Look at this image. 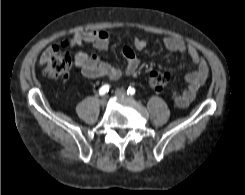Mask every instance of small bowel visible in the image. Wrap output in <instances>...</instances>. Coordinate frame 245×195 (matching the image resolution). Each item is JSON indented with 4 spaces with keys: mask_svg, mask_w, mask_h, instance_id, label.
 Returning a JSON list of instances; mask_svg holds the SVG:
<instances>
[{
    "mask_svg": "<svg viewBox=\"0 0 245 195\" xmlns=\"http://www.w3.org/2000/svg\"><path fill=\"white\" fill-rule=\"evenodd\" d=\"M84 43H91L96 49L105 50L108 48L109 34L104 30L77 32L70 39L69 45L77 46ZM146 44L143 38H135L133 42L136 50H143ZM163 44L170 51L189 55L196 66L195 70L186 75L187 88L179 93H172L175 104L180 108H185L195 99L200 87L207 79L209 73L208 64L193 45L187 44L181 39L167 37L163 40ZM54 46L45 50L40 59L41 63H45L49 59ZM122 54L126 61L124 69L103 62L97 55H89L83 51L75 56V64L85 77L117 80L123 75L134 74L140 64L133 48L125 46L122 49Z\"/></svg>",
    "mask_w": 245,
    "mask_h": 195,
    "instance_id": "obj_1",
    "label": "small bowel"
}]
</instances>
